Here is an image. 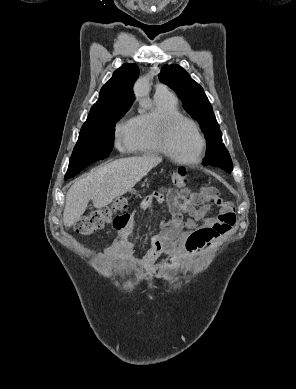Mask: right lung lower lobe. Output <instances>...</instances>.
Listing matches in <instances>:
<instances>
[{
	"mask_svg": "<svg viewBox=\"0 0 296 389\" xmlns=\"http://www.w3.org/2000/svg\"><path fill=\"white\" fill-rule=\"evenodd\" d=\"M84 168H81V169H77V170H73V171H70V172H67L66 175H65V180L71 178V177H74L76 174H78L81 170H83Z\"/></svg>",
	"mask_w": 296,
	"mask_h": 389,
	"instance_id": "98d812e1",
	"label": "right lung lower lobe"
}]
</instances>
